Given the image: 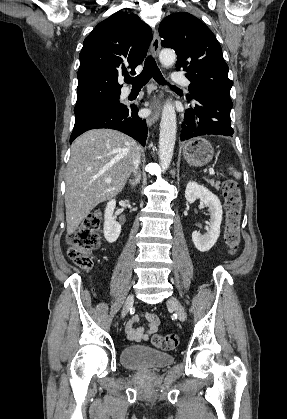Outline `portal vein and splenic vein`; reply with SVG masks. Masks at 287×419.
<instances>
[{
    "mask_svg": "<svg viewBox=\"0 0 287 419\" xmlns=\"http://www.w3.org/2000/svg\"><path fill=\"white\" fill-rule=\"evenodd\" d=\"M209 174H210V175H214V170H213V169H210V170H209Z\"/></svg>",
    "mask_w": 287,
    "mask_h": 419,
    "instance_id": "portal-vein-and-splenic-vein-1",
    "label": "portal vein and splenic vein"
}]
</instances>
